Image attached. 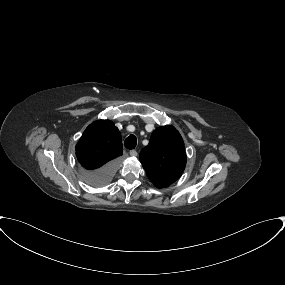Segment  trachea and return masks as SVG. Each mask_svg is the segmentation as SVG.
<instances>
[{
    "label": "trachea",
    "instance_id": "3493384b",
    "mask_svg": "<svg viewBox=\"0 0 285 285\" xmlns=\"http://www.w3.org/2000/svg\"><path fill=\"white\" fill-rule=\"evenodd\" d=\"M124 145L127 149H134L137 145V139L134 135H130L125 139Z\"/></svg>",
    "mask_w": 285,
    "mask_h": 285
}]
</instances>
